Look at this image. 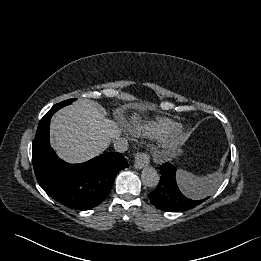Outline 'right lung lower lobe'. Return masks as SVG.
I'll use <instances>...</instances> for the list:
<instances>
[{
  "mask_svg": "<svg viewBox=\"0 0 261 261\" xmlns=\"http://www.w3.org/2000/svg\"><path fill=\"white\" fill-rule=\"evenodd\" d=\"M58 108L52 107L41 119L33 141L35 175L43 190L63 205L88 210L109 194L117 173L127 168L121 153H105L82 164H69L50 147V120Z\"/></svg>",
  "mask_w": 261,
  "mask_h": 261,
  "instance_id": "obj_1",
  "label": "right lung lower lobe"
}]
</instances>
